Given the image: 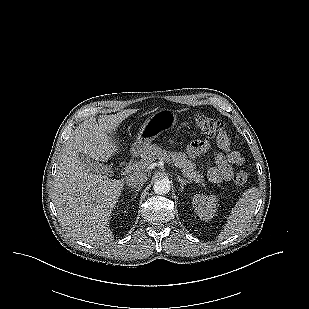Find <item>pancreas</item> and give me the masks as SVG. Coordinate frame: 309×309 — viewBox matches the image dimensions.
I'll return each instance as SVG.
<instances>
[{"label": "pancreas", "instance_id": "obj_1", "mask_svg": "<svg viewBox=\"0 0 309 309\" xmlns=\"http://www.w3.org/2000/svg\"><path fill=\"white\" fill-rule=\"evenodd\" d=\"M156 159H164L166 161H171L176 167L182 169L184 176L188 179L195 181L196 183H203V176L195 170L196 166L190 160L187 159L186 155L182 152H167L161 149L158 145L153 144L148 146L143 151V161L146 163L155 161Z\"/></svg>", "mask_w": 309, "mask_h": 309}]
</instances>
